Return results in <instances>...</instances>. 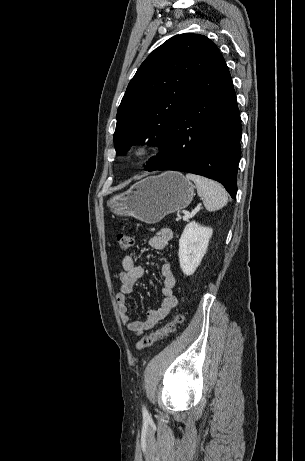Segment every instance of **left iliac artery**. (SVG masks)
<instances>
[{
	"instance_id": "44dca946",
	"label": "left iliac artery",
	"mask_w": 305,
	"mask_h": 461,
	"mask_svg": "<svg viewBox=\"0 0 305 461\" xmlns=\"http://www.w3.org/2000/svg\"><path fill=\"white\" fill-rule=\"evenodd\" d=\"M142 412L144 416L148 415V411L146 410L145 406H143Z\"/></svg>"
}]
</instances>
